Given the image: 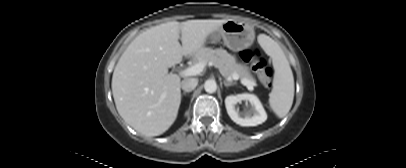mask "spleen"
<instances>
[{
  "label": "spleen",
  "instance_id": "3e777b00",
  "mask_svg": "<svg viewBox=\"0 0 406 168\" xmlns=\"http://www.w3.org/2000/svg\"><path fill=\"white\" fill-rule=\"evenodd\" d=\"M262 48L272 58L275 69L273 88L269 94V105L279 118L290 111L294 99V77L283 50L277 42L268 36L262 37Z\"/></svg>",
  "mask_w": 406,
  "mask_h": 168
}]
</instances>
